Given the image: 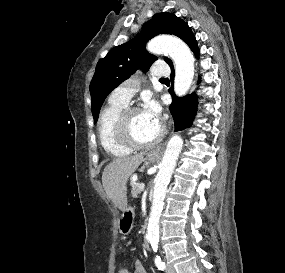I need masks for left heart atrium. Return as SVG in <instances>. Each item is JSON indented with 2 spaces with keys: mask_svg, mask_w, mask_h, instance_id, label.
<instances>
[{
  "mask_svg": "<svg viewBox=\"0 0 285 273\" xmlns=\"http://www.w3.org/2000/svg\"><path fill=\"white\" fill-rule=\"evenodd\" d=\"M142 113L152 121L159 123L161 108L155 100L151 98L146 99L143 105Z\"/></svg>",
  "mask_w": 285,
  "mask_h": 273,
  "instance_id": "39dd6f15",
  "label": "left heart atrium"
}]
</instances>
